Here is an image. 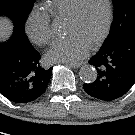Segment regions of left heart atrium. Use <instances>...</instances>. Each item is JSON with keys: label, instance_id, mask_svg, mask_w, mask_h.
Here are the masks:
<instances>
[{"label": "left heart atrium", "instance_id": "39dd6f15", "mask_svg": "<svg viewBox=\"0 0 135 135\" xmlns=\"http://www.w3.org/2000/svg\"><path fill=\"white\" fill-rule=\"evenodd\" d=\"M89 44L77 35H70L57 41L48 50L46 58L50 62H74L82 59L88 52Z\"/></svg>", "mask_w": 135, "mask_h": 135}]
</instances>
